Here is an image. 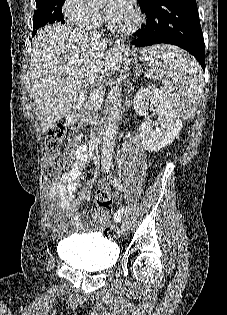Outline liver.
Segmentation results:
<instances>
[{
  "label": "liver",
  "instance_id": "1",
  "mask_svg": "<svg viewBox=\"0 0 227 315\" xmlns=\"http://www.w3.org/2000/svg\"><path fill=\"white\" fill-rule=\"evenodd\" d=\"M121 59L120 51L108 50L100 36L59 23L40 29L30 54V80L42 131L52 128L74 107L91 77L117 70Z\"/></svg>",
  "mask_w": 227,
  "mask_h": 315
}]
</instances>
